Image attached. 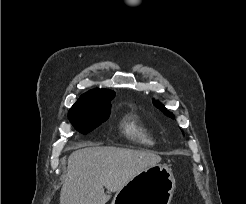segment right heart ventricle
Masks as SVG:
<instances>
[{
    "label": "right heart ventricle",
    "instance_id": "right-heart-ventricle-1",
    "mask_svg": "<svg viewBox=\"0 0 246 204\" xmlns=\"http://www.w3.org/2000/svg\"><path fill=\"white\" fill-rule=\"evenodd\" d=\"M121 130L124 136L133 142L147 146L154 144V138L148 128L134 116L124 118Z\"/></svg>",
    "mask_w": 246,
    "mask_h": 204
}]
</instances>
